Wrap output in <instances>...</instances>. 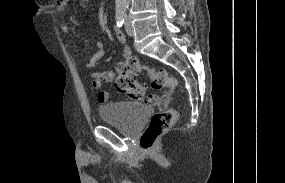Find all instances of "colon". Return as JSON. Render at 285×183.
I'll list each match as a JSON object with an SVG mask.
<instances>
[{"label": "colon", "instance_id": "colon-1", "mask_svg": "<svg viewBox=\"0 0 285 183\" xmlns=\"http://www.w3.org/2000/svg\"><path fill=\"white\" fill-rule=\"evenodd\" d=\"M65 2V0H59ZM117 77L115 79L116 89L127 95L131 99H142L145 95V87L136 81V76L141 73H146L151 80L154 89L168 87L174 89L176 81L169 76L166 70L154 68L148 64L140 62L135 57H128L115 66ZM147 103L158 104L163 110L154 114L149 122L148 127L143 132L140 145L146 152H151L154 149L157 139L172 126H174L179 114L174 109H165L168 103V97L149 96L145 98Z\"/></svg>", "mask_w": 285, "mask_h": 183}]
</instances>
